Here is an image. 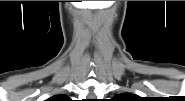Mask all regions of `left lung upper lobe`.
Listing matches in <instances>:
<instances>
[{
	"mask_svg": "<svg viewBox=\"0 0 185 101\" xmlns=\"http://www.w3.org/2000/svg\"><path fill=\"white\" fill-rule=\"evenodd\" d=\"M116 97H118L119 99L118 101H128L129 99H133L132 97H134V95L124 93V94L117 95Z\"/></svg>",
	"mask_w": 185,
	"mask_h": 101,
	"instance_id": "1",
	"label": "left lung upper lobe"
}]
</instances>
